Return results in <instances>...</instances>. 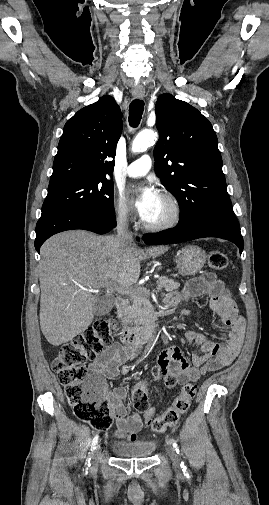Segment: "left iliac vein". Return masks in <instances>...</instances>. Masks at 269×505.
<instances>
[{"instance_id":"1","label":"left iliac vein","mask_w":269,"mask_h":505,"mask_svg":"<svg viewBox=\"0 0 269 505\" xmlns=\"http://www.w3.org/2000/svg\"><path fill=\"white\" fill-rule=\"evenodd\" d=\"M166 450L172 460L174 469L179 472L181 470V464H180V459H179L175 449L168 446L166 448Z\"/></svg>"}]
</instances>
